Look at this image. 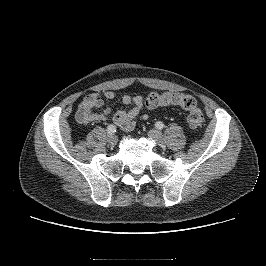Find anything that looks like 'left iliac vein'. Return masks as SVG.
Masks as SVG:
<instances>
[{"instance_id": "left-iliac-vein-1", "label": "left iliac vein", "mask_w": 266, "mask_h": 266, "mask_svg": "<svg viewBox=\"0 0 266 266\" xmlns=\"http://www.w3.org/2000/svg\"><path fill=\"white\" fill-rule=\"evenodd\" d=\"M148 136L154 141L156 142L157 144L159 145H163L165 144V139L163 137V135L161 134L160 131L158 130H149L148 131Z\"/></svg>"}]
</instances>
